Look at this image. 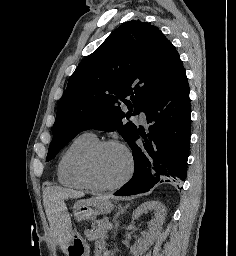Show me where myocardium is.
I'll return each instance as SVG.
<instances>
[{"label":"myocardium","mask_w":236,"mask_h":256,"mask_svg":"<svg viewBox=\"0 0 236 256\" xmlns=\"http://www.w3.org/2000/svg\"><path fill=\"white\" fill-rule=\"evenodd\" d=\"M108 147H117V148H120L124 152V154L126 155V158H127V170H126V173L124 174V176L122 177V179L118 183H116L112 186L103 187V186L97 185L94 182V180L92 178V173H91V166H92V162H93V159L95 158V156L98 155L101 151H103L105 148H108ZM133 172H134L133 155H132L130 149L126 145H124L123 143H121L120 141H117V140H106V141L97 142L93 146V148L85 155V157L82 161V165H81V176H82L84 183L90 190L97 192V193H112V192L119 190L125 184L128 183V181L131 179V177L133 175Z\"/></svg>","instance_id":"obj_1"}]
</instances>
